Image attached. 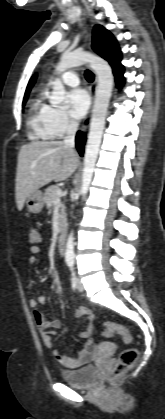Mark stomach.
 <instances>
[{
	"label": "stomach",
	"instance_id": "stomach-1",
	"mask_svg": "<svg viewBox=\"0 0 165 419\" xmlns=\"http://www.w3.org/2000/svg\"><path fill=\"white\" fill-rule=\"evenodd\" d=\"M27 209L33 214L40 213L44 207V197L40 191L30 194L25 200Z\"/></svg>",
	"mask_w": 165,
	"mask_h": 419
}]
</instances>
